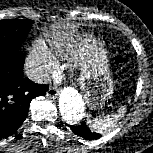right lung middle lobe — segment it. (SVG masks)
Instances as JSON below:
<instances>
[{"mask_svg": "<svg viewBox=\"0 0 153 153\" xmlns=\"http://www.w3.org/2000/svg\"><path fill=\"white\" fill-rule=\"evenodd\" d=\"M32 24V21L23 19L0 20V48L20 50Z\"/></svg>", "mask_w": 153, "mask_h": 153, "instance_id": "1", "label": "right lung middle lobe"}]
</instances>
